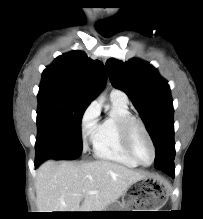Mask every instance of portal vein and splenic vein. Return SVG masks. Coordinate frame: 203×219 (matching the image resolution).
Returning <instances> with one entry per match:
<instances>
[{
    "label": "portal vein and splenic vein",
    "instance_id": "obj_1",
    "mask_svg": "<svg viewBox=\"0 0 203 219\" xmlns=\"http://www.w3.org/2000/svg\"><path fill=\"white\" fill-rule=\"evenodd\" d=\"M97 191H89V194H96Z\"/></svg>",
    "mask_w": 203,
    "mask_h": 219
}]
</instances>
